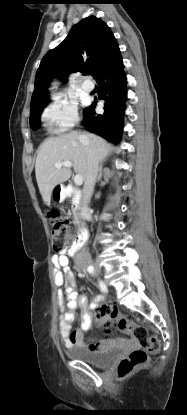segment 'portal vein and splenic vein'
<instances>
[{"label": "portal vein and splenic vein", "instance_id": "obj_1", "mask_svg": "<svg viewBox=\"0 0 187 415\" xmlns=\"http://www.w3.org/2000/svg\"><path fill=\"white\" fill-rule=\"evenodd\" d=\"M72 165L73 164H72L71 161H64V162H57V163H55V167L57 169L61 168L62 166L72 167ZM74 183H75L76 186H81L82 183H83V177L81 175H79V174L75 175V177H74Z\"/></svg>", "mask_w": 187, "mask_h": 415}]
</instances>
